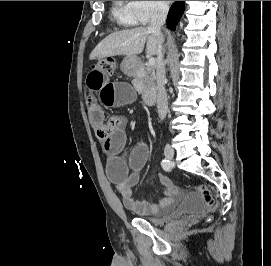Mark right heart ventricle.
I'll return each mask as SVG.
<instances>
[{
	"instance_id": "obj_1",
	"label": "right heart ventricle",
	"mask_w": 271,
	"mask_h": 266,
	"mask_svg": "<svg viewBox=\"0 0 271 266\" xmlns=\"http://www.w3.org/2000/svg\"><path fill=\"white\" fill-rule=\"evenodd\" d=\"M112 14L115 20L122 26L135 24L129 4L126 1H113Z\"/></svg>"
}]
</instances>
